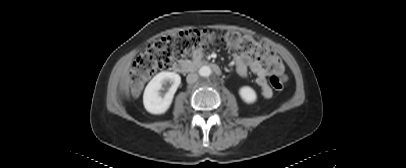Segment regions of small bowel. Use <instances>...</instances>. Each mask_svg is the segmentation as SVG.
Returning a JSON list of instances; mask_svg holds the SVG:
<instances>
[{
    "mask_svg": "<svg viewBox=\"0 0 406 168\" xmlns=\"http://www.w3.org/2000/svg\"><path fill=\"white\" fill-rule=\"evenodd\" d=\"M195 59L203 57V50H198L193 54ZM233 60L235 63L236 71L241 76H246L248 71L256 75V83L260 87L261 95L264 98L272 96V89L267 83V69L263 63L257 59L245 56L241 53L232 52Z\"/></svg>",
    "mask_w": 406,
    "mask_h": 168,
    "instance_id": "c3829d8e",
    "label": "small bowel"
}]
</instances>
